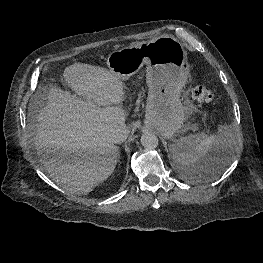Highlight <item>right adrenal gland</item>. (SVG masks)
<instances>
[{
	"label": "right adrenal gland",
	"mask_w": 263,
	"mask_h": 263,
	"mask_svg": "<svg viewBox=\"0 0 263 263\" xmlns=\"http://www.w3.org/2000/svg\"><path fill=\"white\" fill-rule=\"evenodd\" d=\"M117 151H118V162H120V160H119V159H120V154H121V153H120V151H119L118 147H117Z\"/></svg>",
	"instance_id": "right-adrenal-gland-1"
}]
</instances>
